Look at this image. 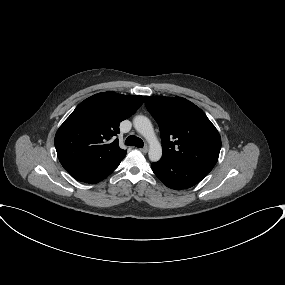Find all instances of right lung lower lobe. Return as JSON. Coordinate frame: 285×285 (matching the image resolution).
Returning a JSON list of instances; mask_svg holds the SVG:
<instances>
[{
  "instance_id": "right-lung-lower-lobe-1",
  "label": "right lung lower lobe",
  "mask_w": 285,
  "mask_h": 285,
  "mask_svg": "<svg viewBox=\"0 0 285 285\" xmlns=\"http://www.w3.org/2000/svg\"><path fill=\"white\" fill-rule=\"evenodd\" d=\"M118 167V166H117ZM117 167L104 172V173H98V174H83L80 173L78 171H69L70 175L72 177H74L76 180L78 181H82L85 183H90V184H94L97 183L101 180H103L104 178H106L109 174H111Z\"/></svg>"
}]
</instances>
